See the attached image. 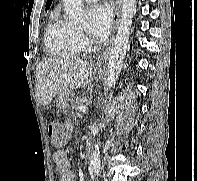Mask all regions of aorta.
<instances>
[{"mask_svg":"<svg viewBox=\"0 0 197 181\" xmlns=\"http://www.w3.org/2000/svg\"><path fill=\"white\" fill-rule=\"evenodd\" d=\"M63 4L64 10L72 23H83V0H63ZM135 5L136 0H123L121 19L108 62L105 89L106 100L104 106V112L106 115L110 112L111 99L113 97L112 89L115 86L121 72L123 61L128 49ZM90 166L94 174L99 176L102 169L100 162V142H97L94 146Z\"/></svg>","mask_w":197,"mask_h":181,"instance_id":"obj_1","label":"aorta"}]
</instances>
